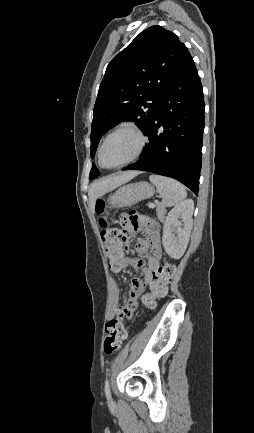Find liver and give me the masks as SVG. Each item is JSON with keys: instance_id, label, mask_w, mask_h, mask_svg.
<instances>
[{"instance_id": "liver-1", "label": "liver", "mask_w": 254, "mask_h": 433, "mask_svg": "<svg viewBox=\"0 0 254 433\" xmlns=\"http://www.w3.org/2000/svg\"><path fill=\"white\" fill-rule=\"evenodd\" d=\"M139 173L140 172L138 171H128L103 177L93 182L88 192L89 203L92 211L94 212L95 203L99 197L130 181Z\"/></svg>"}]
</instances>
